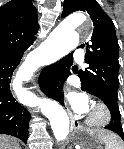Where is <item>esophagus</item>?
Wrapping results in <instances>:
<instances>
[{"instance_id": "34e87169", "label": "esophagus", "mask_w": 124, "mask_h": 149, "mask_svg": "<svg viewBox=\"0 0 124 149\" xmlns=\"http://www.w3.org/2000/svg\"><path fill=\"white\" fill-rule=\"evenodd\" d=\"M71 127L75 130L80 128L79 122L75 121L72 117H71Z\"/></svg>"}]
</instances>
